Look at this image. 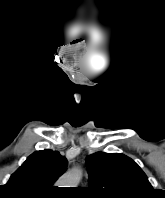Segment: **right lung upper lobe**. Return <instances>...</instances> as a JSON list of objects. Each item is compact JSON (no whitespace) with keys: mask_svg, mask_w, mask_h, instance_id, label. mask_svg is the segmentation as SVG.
I'll return each instance as SVG.
<instances>
[{"mask_svg":"<svg viewBox=\"0 0 165 198\" xmlns=\"http://www.w3.org/2000/svg\"><path fill=\"white\" fill-rule=\"evenodd\" d=\"M66 167L67 160L58 151H37L26 159L5 186L20 196L47 197Z\"/></svg>","mask_w":165,"mask_h":198,"instance_id":"cb5924a9","label":"right lung upper lobe"}]
</instances>
